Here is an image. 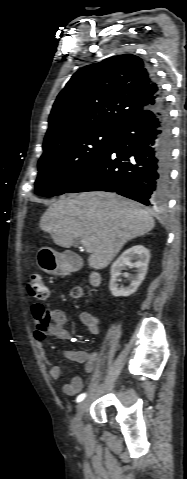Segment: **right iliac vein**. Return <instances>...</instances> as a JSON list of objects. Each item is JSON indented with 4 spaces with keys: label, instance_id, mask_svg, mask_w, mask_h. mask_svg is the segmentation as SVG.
<instances>
[{
    "label": "right iliac vein",
    "instance_id": "1",
    "mask_svg": "<svg viewBox=\"0 0 187 479\" xmlns=\"http://www.w3.org/2000/svg\"><path fill=\"white\" fill-rule=\"evenodd\" d=\"M87 410V401H82L78 404L76 415L72 421V429L79 433L82 429V417Z\"/></svg>",
    "mask_w": 187,
    "mask_h": 479
}]
</instances>
